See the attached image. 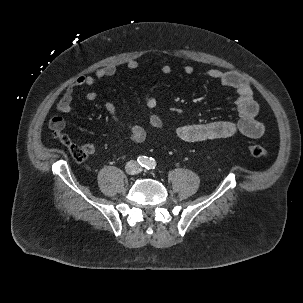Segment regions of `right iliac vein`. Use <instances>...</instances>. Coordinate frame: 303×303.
Masks as SVG:
<instances>
[{"mask_svg":"<svg viewBox=\"0 0 303 303\" xmlns=\"http://www.w3.org/2000/svg\"><path fill=\"white\" fill-rule=\"evenodd\" d=\"M132 170V167L130 166L129 168H128V171H131Z\"/></svg>","mask_w":303,"mask_h":303,"instance_id":"obj_1","label":"right iliac vein"}]
</instances>
